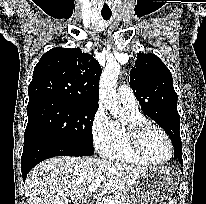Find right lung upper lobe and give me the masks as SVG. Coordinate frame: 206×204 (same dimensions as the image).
Listing matches in <instances>:
<instances>
[{
	"label": "right lung upper lobe",
	"mask_w": 206,
	"mask_h": 204,
	"mask_svg": "<svg viewBox=\"0 0 206 204\" xmlns=\"http://www.w3.org/2000/svg\"><path fill=\"white\" fill-rule=\"evenodd\" d=\"M101 72L93 56L79 48H53L34 68L29 101L57 99L98 105Z\"/></svg>",
	"instance_id": "1"
}]
</instances>
